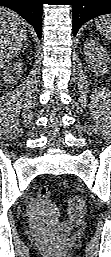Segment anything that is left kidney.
<instances>
[{"instance_id": "1", "label": "left kidney", "mask_w": 111, "mask_h": 257, "mask_svg": "<svg viewBox=\"0 0 111 257\" xmlns=\"http://www.w3.org/2000/svg\"><path fill=\"white\" fill-rule=\"evenodd\" d=\"M86 60L93 72L104 74L111 62L106 50L99 43L89 40L84 43Z\"/></svg>"}]
</instances>
